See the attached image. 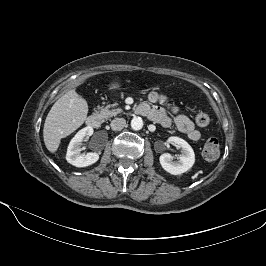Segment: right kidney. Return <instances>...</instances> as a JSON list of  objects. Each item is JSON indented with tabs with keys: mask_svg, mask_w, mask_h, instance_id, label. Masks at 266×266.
I'll use <instances>...</instances> for the list:
<instances>
[{
	"mask_svg": "<svg viewBox=\"0 0 266 266\" xmlns=\"http://www.w3.org/2000/svg\"><path fill=\"white\" fill-rule=\"evenodd\" d=\"M93 134V128L91 126H87L80 131L72 138L70 141L66 160L68 163L76 166V167H86L96 163L99 159V154L96 152H90L87 154L81 153V145L82 141L85 137H90Z\"/></svg>",
	"mask_w": 266,
	"mask_h": 266,
	"instance_id": "1",
	"label": "right kidney"
}]
</instances>
